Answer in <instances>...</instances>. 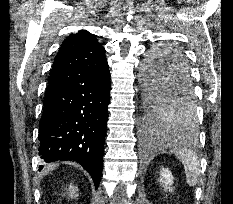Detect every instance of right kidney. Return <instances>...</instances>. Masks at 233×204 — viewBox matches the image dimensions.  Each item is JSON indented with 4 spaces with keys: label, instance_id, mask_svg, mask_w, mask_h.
<instances>
[{
    "label": "right kidney",
    "instance_id": "obj_1",
    "mask_svg": "<svg viewBox=\"0 0 233 204\" xmlns=\"http://www.w3.org/2000/svg\"><path fill=\"white\" fill-rule=\"evenodd\" d=\"M70 191L72 190V192H70L71 193V197H73V195L72 194H74L75 193V190H74V187L73 186H70Z\"/></svg>",
    "mask_w": 233,
    "mask_h": 204
}]
</instances>
